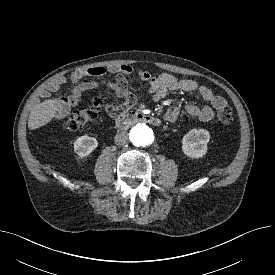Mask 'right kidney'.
<instances>
[{
  "mask_svg": "<svg viewBox=\"0 0 275 275\" xmlns=\"http://www.w3.org/2000/svg\"><path fill=\"white\" fill-rule=\"evenodd\" d=\"M98 146V142L95 138L87 135L78 137L74 141V151L80 157H85L91 154Z\"/></svg>",
  "mask_w": 275,
  "mask_h": 275,
  "instance_id": "1",
  "label": "right kidney"
}]
</instances>
